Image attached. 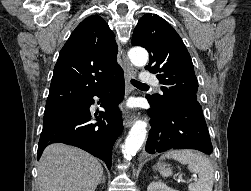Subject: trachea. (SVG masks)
I'll return each instance as SVG.
<instances>
[{"label": "trachea", "mask_w": 251, "mask_h": 191, "mask_svg": "<svg viewBox=\"0 0 251 191\" xmlns=\"http://www.w3.org/2000/svg\"><path fill=\"white\" fill-rule=\"evenodd\" d=\"M132 85L134 86H144V87H148V85H146V83H141L140 81L137 80H131Z\"/></svg>", "instance_id": "3493384b"}]
</instances>
